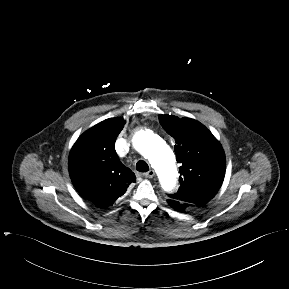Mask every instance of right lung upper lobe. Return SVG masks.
I'll return each mask as SVG.
<instances>
[{
	"label": "right lung upper lobe",
	"instance_id": "cb5924a9",
	"mask_svg": "<svg viewBox=\"0 0 289 289\" xmlns=\"http://www.w3.org/2000/svg\"><path fill=\"white\" fill-rule=\"evenodd\" d=\"M124 124L121 118L100 122L78 138L69 155V172L77 191L102 208L113 205L136 180L115 151Z\"/></svg>",
	"mask_w": 289,
	"mask_h": 289
}]
</instances>
